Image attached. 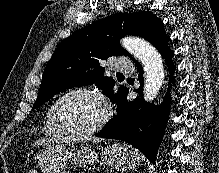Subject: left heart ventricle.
<instances>
[{
  "label": "left heart ventricle",
  "instance_id": "b2bd125f",
  "mask_svg": "<svg viewBox=\"0 0 219 173\" xmlns=\"http://www.w3.org/2000/svg\"><path fill=\"white\" fill-rule=\"evenodd\" d=\"M104 114V106L93 95L77 93L60 106L62 123L71 130H85L95 125Z\"/></svg>",
  "mask_w": 219,
  "mask_h": 173
}]
</instances>
